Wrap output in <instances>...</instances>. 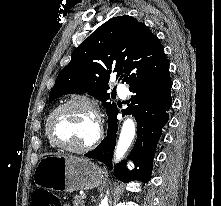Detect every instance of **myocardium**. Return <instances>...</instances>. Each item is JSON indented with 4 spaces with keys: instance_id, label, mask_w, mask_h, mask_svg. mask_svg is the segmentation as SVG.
Segmentation results:
<instances>
[{
    "instance_id": "f54148a6",
    "label": "myocardium",
    "mask_w": 221,
    "mask_h": 206,
    "mask_svg": "<svg viewBox=\"0 0 221 206\" xmlns=\"http://www.w3.org/2000/svg\"><path fill=\"white\" fill-rule=\"evenodd\" d=\"M73 105H79V106H83L87 108L92 113L94 120H95V124H96V131H95L94 138L92 139L90 143L82 147H73L70 145L60 143L59 141L55 139L52 133V122L55 116L63 109L69 106H73ZM102 134H103V125H102L101 117L99 115V112L96 106L89 100L82 99V98L69 99L61 103L49 114L47 121H46V135H47L49 142L53 146L61 150L76 153V154L88 153L92 151L93 149H95L102 138Z\"/></svg>"
}]
</instances>
